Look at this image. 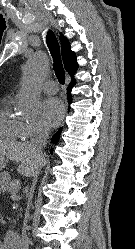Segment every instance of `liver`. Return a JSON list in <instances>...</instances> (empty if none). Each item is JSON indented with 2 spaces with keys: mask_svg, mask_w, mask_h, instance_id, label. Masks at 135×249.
Wrapping results in <instances>:
<instances>
[{
  "mask_svg": "<svg viewBox=\"0 0 135 249\" xmlns=\"http://www.w3.org/2000/svg\"><path fill=\"white\" fill-rule=\"evenodd\" d=\"M0 156L19 162L18 172L31 177L40 171L45 162V155H35L30 143H10L0 141Z\"/></svg>",
  "mask_w": 135,
  "mask_h": 249,
  "instance_id": "obj_1",
  "label": "liver"
}]
</instances>
